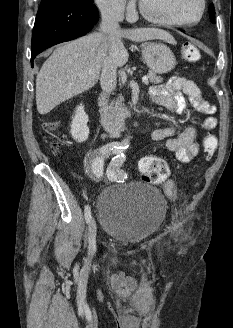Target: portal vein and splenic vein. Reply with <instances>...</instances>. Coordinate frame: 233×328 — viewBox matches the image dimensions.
<instances>
[{
	"instance_id": "obj_1",
	"label": "portal vein and splenic vein",
	"mask_w": 233,
	"mask_h": 328,
	"mask_svg": "<svg viewBox=\"0 0 233 328\" xmlns=\"http://www.w3.org/2000/svg\"><path fill=\"white\" fill-rule=\"evenodd\" d=\"M142 81H143L144 83H148V77H147V76H144V77L142 78Z\"/></svg>"
}]
</instances>
